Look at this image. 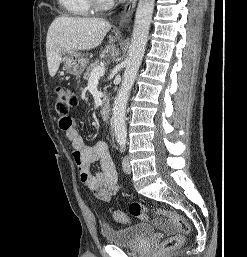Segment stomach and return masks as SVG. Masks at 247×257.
<instances>
[{"mask_svg": "<svg viewBox=\"0 0 247 257\" xmlns=\"http://www.w3.org/2000/svg\"><path fill=\"white\" fill-rule=\"evenodd\" d=\"M62 63L68 73L80 76L88 65V59L78 51H67L63 54Z\"/></svg>", "mask_w": 247, "mask_h": 257, "instance_id": "1", "label": "stomach"}]
</instances>
